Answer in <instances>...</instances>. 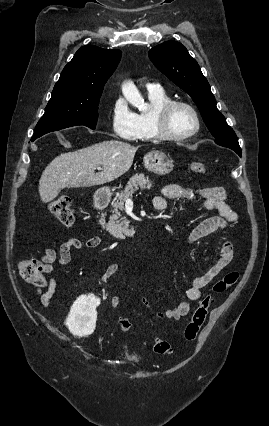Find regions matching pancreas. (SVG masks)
Returning a JSON list of instances; mask_svg holds the SVG:
<instances>
[{"instance_id": "obj_1", "label": "pancreas", "mask_w": 269, "mask_h": 426, "mask_svg": "<svg viewBox=\"0 0 269 426\" xmlns=\"http://www.w3.org/2000/svg\"><path fill=\"white\" fill-rule=\"evenodd\" d=\"M152 182L145 178L144 174H135L125 186L124 191L116 196L112 202V216L106 225V230L114 237L125 238L134 235V228H129V221L126 217H121V211L125 209L126 199H130L135 191L150 189Z\"/></svg>"}]
</instances>
